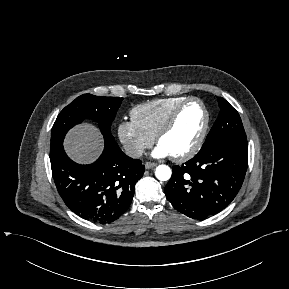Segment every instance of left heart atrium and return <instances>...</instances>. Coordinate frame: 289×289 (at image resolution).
Wrapping results in <instances>:
<instances>
[{
    "label": "left heart atrium",
    "instance_id": "obj_1",
    "mask_svg": "<svg viewBox=\"0 0 289 289\" xmlns=\"http://www.w3.org/2000/svg\"><path fill=\"white\" fill-rule=\"evenodd\" d=\"M152 155L156 158H162V157H166L169 156L170 154L168 153V151L166 149H164L162 146L158 145Z\"/></svg>",
    "mask_w": 289,
    "mask_h": 289
}]
</instances>
